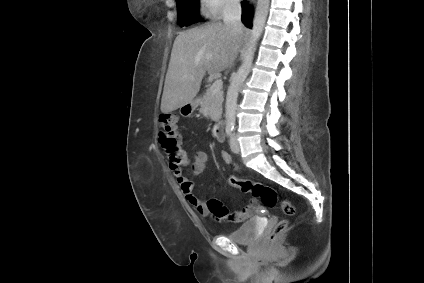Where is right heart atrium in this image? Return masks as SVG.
I'll list each match as a JSON object with an SVG mask.
<instances>
[{
    "label": "right heart atrium",
    "mask_w": 424,
    "mask_h": 283,
    "mask_svg": "<svg viewBox=\"0 0 424 283\" xmlns=\"http://www.w3.org/2000/svg\"><path fill=\"white\" fill-rule=\"evenodd\" d=\"M240 0H199V5L204 14L221 17L225 13L235 10Z\"/></svg>",
    "instance_id": "obj_1"
}]
</instances>
